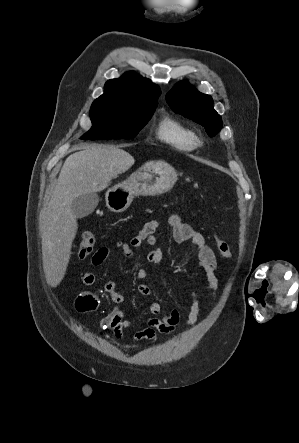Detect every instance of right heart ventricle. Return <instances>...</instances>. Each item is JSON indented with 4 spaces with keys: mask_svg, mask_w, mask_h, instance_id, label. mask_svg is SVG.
I'll list each match as a JSON object with an SVG mask.
<instances>
[{
    "mask_svg": "<svg viewBox=\"0 0 299 443\" xmlns=\"http://www.w3.org/2000/svg\"><path fill=\"white\" fill-rule=\"evenodd\" d=\"M156 136L164 144L181 152H192L199 146L196 132L184 122L170 116L159 121Z\"/></svg>",
    "mask_w": 299,
    "mask_h": 443,
    "instance_id": "e07e8e85",
    "label": "right heart ventricle"
}]
</instances>
